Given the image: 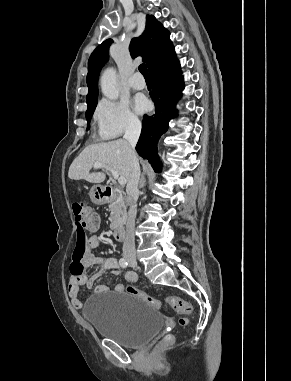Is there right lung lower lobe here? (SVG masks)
<instances>
[{
    "mask_svg": "<svg viewBox=\"0 0 291 381\" xmlns=\"http://www.w3.org/2000/svg\"><path fill=\"white\" fill-rule=\"evenodd\" d=\"M149 72L152 87L150 96L155 103L156 113L152 116L144 115L136 150L141 157L152 164L156 172H160L161 162L157 155V143L160 136L168 129L169 121L177 114L175 104L181 97L184 87L175 51Z\"/></svg>",
    "mask_w": 291,
    "mask_h": 381,
    "instance_id": "98d812e1",
    "label": "right lung lower lobe"
}]
</instances>
